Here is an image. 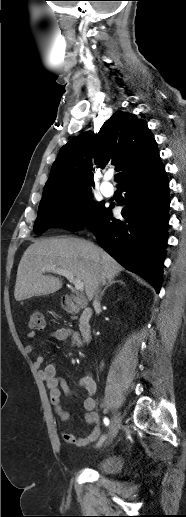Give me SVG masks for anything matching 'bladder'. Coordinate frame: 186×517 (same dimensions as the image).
Wrapping results in <instances>:
<instances>
[{
	"mask_svg": "<svg viewBox=\"0 0 186 517\" xmlns=\"http://www.w3.org/2000/svg\"><path fill=\"white\" fill-rule=\"evenodd\" d=\"M124 465V460L122 456L116 455L111 456L103 460L99 466L98 470L107 474H114L119 472Z\"/></svg>",
	"mask_w": 186,
	"mask_h": 517,
	"instance_id": "1",
	"label": "bladder"
}]
</instances>
